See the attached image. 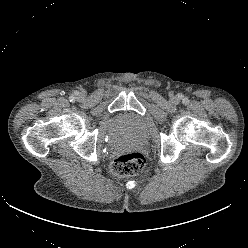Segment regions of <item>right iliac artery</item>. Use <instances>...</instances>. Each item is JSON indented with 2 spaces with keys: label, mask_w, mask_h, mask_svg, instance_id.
I'll return each instance as SVG.
<instances>
[{
  "label": "right iliac artery",
  "mask_w": 248,
  "mask_h": 248,
  "mask_svg": "<svg viewBox=\"0 0 248 248\" xmlns=\"http://www.w3.org/2000/svg\"><path fill=\"white\" fill-rule=\"evenodd\" d=\"M74 96H70V101H73L74 100Z\"/></svg>",
  "instance_id": "82829eb1"
}]
</instances>
